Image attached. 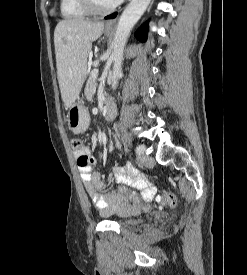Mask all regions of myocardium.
<instances>
[{
	"mask_svg": "<svg viewBox=\"0 0 247 275\" xmlns=\"http://www.w3.org/2000/svg\"><path fill=\"white\" fill-rule=\"evenodd\" d=\"M79 2L89 13L94 15L108 14L117 7V4H115L109 8H101L96 4L95 0H79Z\"/></svg>",
	"mask_w": 247,
	"mask_h": 275,
	"instance_id": "f54148a6",
	"label": "myocardium"
}]
</instances>
